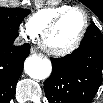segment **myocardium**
Listing matches in <instances>:
<instances>
[{
	"mask_svg": "<svg viewBox=\"0 0 103 103\" xmlns=\"http://www.w3.org/2000/svg\"><path fill=\"white\" fill-rule=\"evenodd\" d=\"M75 11L81 12L84 16V26H83V30L80 33L79 37L76 39V41L73 44H71L70 46L66 48L54 49V48L49 47L46 42L47 37L56 29L59 23L66 16H68L70 13L75 12ZM88 29H89V16L87 12L83 8L78 7V6L70 7L64 10L63 12H61L60 14H58L48 23V25L43 29V31L40 34L39 43H40L41 48L51 55L66 56L68 54L73 53L75 50H77L80 47V45L82 44L87 34Z\"/></svg>",
	"mask_w": 103,
	"mask_h": 103,
	"instance_id": "f54148a6",
	"label": "myocardium"
}]
</instances>
